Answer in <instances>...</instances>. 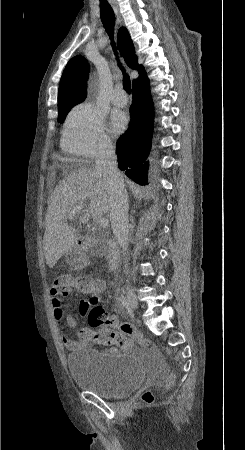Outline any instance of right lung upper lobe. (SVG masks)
<instances>
[{
	"mask_svg": "<svg viewBox=\"0 0 245 450\" xmlns=\"http://www.w3.org/2000/svg\"><path fill=\"white\" fill-rule=\"evenodd\" d=\"M118 46L128 66L137 69L139 77L142 76L145 70L142 65L138 64L133 42L124 27L118 32ZM89 70V64L84 57L76 56L70 59L60 80L58 107L67 103L78 104L85 100Z\"/></svg>",
	"mask_w": 245,
	"mask_h": 450,
	"instance_id": "cb5924a9",
	"label": "right lung upper lobe"
}]
</instances>
